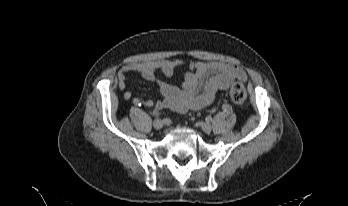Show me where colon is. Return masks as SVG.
<instances>
[{"instance_id":"5ec220e1","label":"colon","mask_w":348,"mask_h":206,"mask_svg":"<svg viewBox=\"0 0 348 206\" xmlns=\"http://www.w3.org/2000/svg\"><path fill=\"white\" fill-rule=\"evenodd\" d=\"M229 96L232 102L236 105H242L246 100V89L241 83L234 84L230 91Z\"/></svg>"}]
</instances>
